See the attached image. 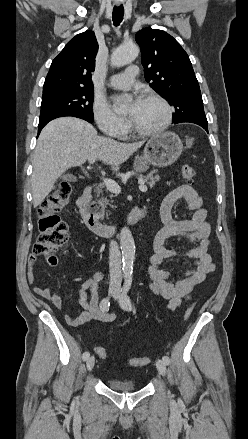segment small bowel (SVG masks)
I'll use <instances>...</instances> for the list:
<instances>
[{"label": "small bowel", "instance_id": "small-bowel-1", "mask_svg": "<svg viewBox=\"0 0 248 439\" xmlns=\"http://www.w3.org/2000/svg\"><path fill=\"white\" fill-rule=\"evenodd\" d=\"M181 199L185 200L187 208L193 211L191 218L173 217V207ZM160 214L165 226L154 238V254L148 263L150 289L155 295L169 300L167 310L173 311L184 301L190 300L193 289L215 269L213 258L208 251L211 225L207 221V210L202 206V199L189 185L178 186L167 193L162 200ZM170 238L184 239L196 245L184 251L169 248L165 243ZM177 258L191 261L192 268L182 275H175L164 267L166 261ZM36 262L37 255L33 252L27 266V278L33 285L36 282ZM103 277L102 271H96L77 288L76 301L83 312L77 317L65 316L70 326L78 327L92 320L103 323L115 321L116 316L113 313L102 312L100 305L98 307V286ZM87 290L90 291L89 299L86 295ZM34 292L51 302L55 308H63L61 297L51 287L34 285Z\"/></svg>", "mask_w": 248, "mask_h": 439}]
</instances>
